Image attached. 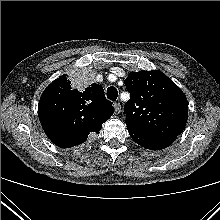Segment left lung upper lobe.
Here are the masks:
<instances>
[{"instance_id":"obj_1","label":"left lung upper lobe","mask_w":220,"mask_h":220,"mask_svg":"<svg viewBox=\"0 0 220 220\" xmlns=\"http://www.w3.org/2000/svg\"><path fill=\"white\" fill-rule=\"evenodd\" d=\"M127 129L141 134L177 137L188 116L185 94L161 71L131 72L125 79Z\"/></svg>"}]
</instances>
